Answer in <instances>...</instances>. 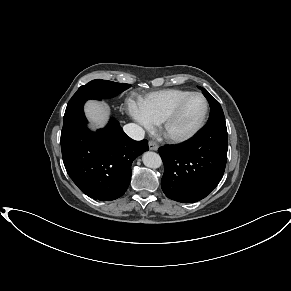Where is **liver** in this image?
I'll return each instance as SVG.
<instances>
[{
	"mask_svg": "<svg viewBox=\"0 0 291 291\" xmlns=\"http://www.w3.org/2000/svg\"><path fill=\"white\" fill-rule=\"evenodd\" d=\"M85 113L89 120L97 127H102L108 118L107 105L96 101H88L86 103Z\"/></svg>",
	"mask_w": 291,
	"mask_h": 291,
	"instance_id": "1",
	"label": "liver"
}]
</instances>
